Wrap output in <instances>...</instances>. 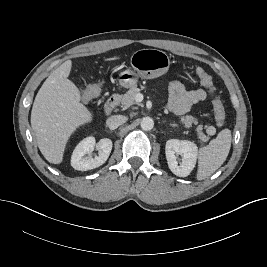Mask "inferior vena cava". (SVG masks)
<instances>
[{
  "mask_svg": "<svg viewBox=\"0 0 267 267\" xmlns=\"http://www.w3.org/2000/svg\"><path fill=\"white\" fill-rule=\"evenodd\" d=\"M127 121V118L122 115H113L109 117L106 121L107 127L111 129H116L120 125L124 124Z\"/></svg>",
  "mask_w": 267,
  "mask_h": 267,
  "instance_id": "inferior-vena-cava-1",
  "label": "inferior vena cava"
}]
</instances>
